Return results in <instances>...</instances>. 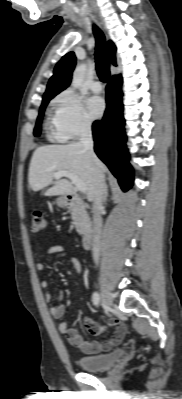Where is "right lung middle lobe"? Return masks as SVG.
Here are the masks:
<instances>
[{"mask_svg":"<svg viewBox=\"0 0 182 399\" xmlns=\"http://www.w3.org/2000/svg\"><path fill=\"white\" fill-rule=\"evenodd\" d=\"M51 99L52 98L43 99V101H42V104H41V107H40V111H39V115H38L37 122H36V126H35V129H34V135L36 137L39 136L40 133H41V121H42V117H43V114H44V110H45V107L47 106L49 100H51Z\"/></svg>","mask_w":182,"mask_h":399,"instance_id":"obj_1","label":"right lung middle lobe"}]
</instances>
